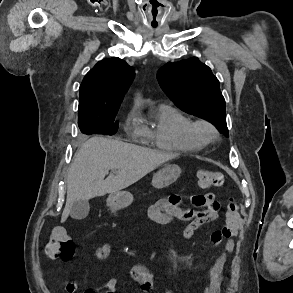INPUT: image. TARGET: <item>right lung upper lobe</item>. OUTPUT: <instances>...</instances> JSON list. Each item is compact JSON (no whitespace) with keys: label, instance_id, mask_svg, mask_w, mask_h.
I'll return each instance as SVG.
<instances>
[{"label":"right lung upper lobe","instance_id":"obj_1","mask_svg":"<svg viewBox=\"0 0 293 293\" xmlns=\"http://www.w3.org/2000/svg\"><path fill=\"white\" fill-rule=\"evenodd\" d=\"M134 76V69L120 58L98 62L80 85L79 114L106 115L117 112Z\"/></svg>","mask_w":293,"mask_h":293}]
</instances>
